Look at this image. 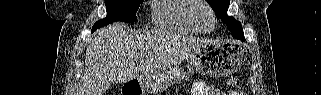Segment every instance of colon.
<instances>
[{
	"label": "colon",
	"mask_w": 321,
	"mask_h": 95,
	"mask_svg": "<svg viewBox=\"0 0 321 95\" xmlns=\"http://www.w3.org/2000/svg\"><path fill=\"white\" fill-rule=\"evenodd\" d=\"M240 83L241 82L238 77H231V78L227 79V81H226L227 86L233 87V88L239 87Z\"/></svg>",
	"instance_id": "1"
}]
</instances>
